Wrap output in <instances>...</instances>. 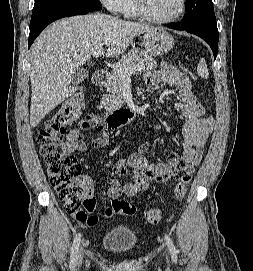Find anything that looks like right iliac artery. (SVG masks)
I'll return each instance as SVG.
<instances>
[{"label":"right iliac artery","instance_id":"obj_1","mask_svg":"<svg viewBox=\"0 0 253 271\" xmlns=\"http://www.w3.org/2000/svg\"><path fill=\"white\" fill-rule=\"evenodd\" d=\"M80 240H81V234L78 233L75 236L72 247H71V254H70V269H71V271H73L75 269L76 264H77Z\"/></svg>","mask_w":253,"mask_h":271}]
</instances>
